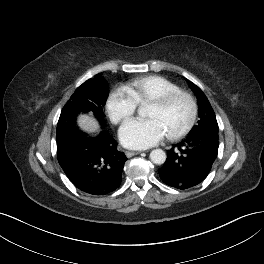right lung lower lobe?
Segmentation results:
<instances>
[{
	"label": "right lung lower lobe",
	"instance_id": "1",
	"mask_svg": "<svg viewBox=\"0 0 264 264\" xmlns=\"http://www.w3.org/2000/svg\"><path fill=\"white\" fill-rule=\"evenodd\" d=\"M102 131L89 136L76 125L57 139V158L70 181L81 191L105 195L119 187L127 157L101 122Z\"/></svg>",
	"mask_w": 264,
	"mask_h": 264
}]
</instances>
